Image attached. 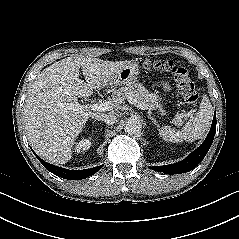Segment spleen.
I'll return each mask as SVG.
<instances>
[{
    "instance_id": "3e777b00",
    "label": "spleen",
    "mask_w": 239,
    "mask_h": 239,
    "mask_svg": "<svg viewBox=\"0 0 239 239\" xmlns=\"http://www.w3.org/2000/svg\"><path fill=\"white\" fill-rule=\"evenodd\" d=\"M212 118L213 106L207 95H203L196 116L190 119L181 131L170 126H164L159 129V134L167 142H194L200 139L209 129Z\"/></svg>"
}]
</instances>
